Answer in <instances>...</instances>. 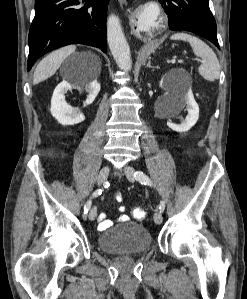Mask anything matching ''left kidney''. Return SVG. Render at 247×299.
<instances>
[{"label":"left kidney","mask_w":247,"mask_h":299,"mask_svg":"<svg viewBox=\"0 0 247 299\" xmlns=\"http://www.w3.org/2000/svg\"><path fill=\"white\" fill-rule=\"evenodd\" d=\"M163 81H161L162 85ZM187 105L188 114L180 124H174L171 121L167 122V126L173 131L184 133L189 131L199 119V106L196 103L191 88L179 94H170V102L167 105L169 115H175L180 112L183 105Z\"/></svg>","instance_id":"5707ae66"}]
</instances>
